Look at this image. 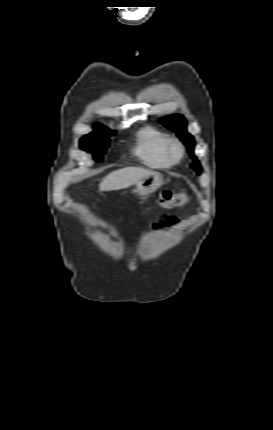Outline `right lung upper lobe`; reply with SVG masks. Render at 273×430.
I'll use <instances>...</instances> for the list:
<instances>
[{"instance_id":"1","label":"right lung upper lobe","mask_w":273,"mask_h":430,"mask_svg":"<svg viewBox=\"0 0 273 430\" xmlns=\"http://www.w3.org/2000/svg\"><path fill=\"white\" fill-rule=\"evenodd\" d=\"M96 127H100V128H103V129H105V130H108V129H106L105 127H103V126H96Z\"/></svg>"}]
</instances>
